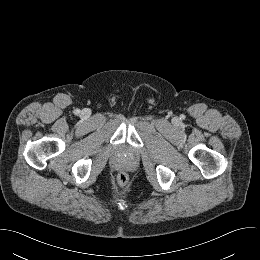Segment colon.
<instances>
[{
  "label": "colon",
  "instance_id": "obj_1",
  "mask_svg": "<svg viewBox=\"0 0 260 260\" xmlns=\"http://www.w3.org/2000/svg\"><path fill=\"white\" fill-rule=\"evenodd\" d=\"M117 180L120 185H125L128 181V177L125 173H120L117 177Z\"/></svg>",
  "mask_w": 260,
  "mask_h": 260
}]
</instances>
